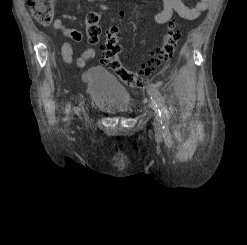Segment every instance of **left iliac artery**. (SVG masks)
<instances>
[{"label": "left iliac artery", "instance_id": "left-iliac-artery-1", "mask_svg": "<svg viewBox=\"0 0 247 245\" xmlns=\"http://www.w3.org/2000/svg\"><path fill=\"white\" fill-rule=\"evenodd\" d=\"M151 99L153 103L156 105L159 116L161 118V123L163 124V128H166L169 124V112L166 108L165 101L161 93L154 87L151 86V88L148 90Z\"/></svg>", "mask_w": 247, "mask_h": 245}]
</instances>
